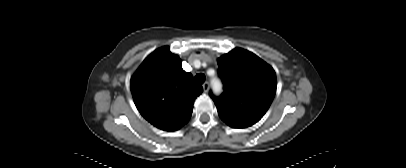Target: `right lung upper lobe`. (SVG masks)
Returning <instances> with one entry per match:
<instances>
[{"instance_id":"cb5924a9","label":"right lung upper lobe","mask_w":406,"mask_h":168,"mask_svg":"<svg viewBox=\"0 0 406 168\" xmlns=\"http://www.w3.org/2000/svg\"><path fill=\"white\" fill-rule=\"evenodd\" d=\"M131 92L142 116L154 126L175 131L188 122L202 86L185 72L179 56L165 46L151 53L131 78Z\"/></svg>"}]
</instances>
